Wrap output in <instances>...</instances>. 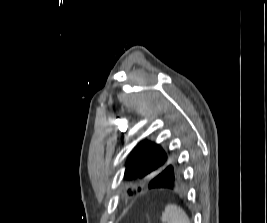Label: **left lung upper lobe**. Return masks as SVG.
<instances>
[{
    "mask_svg": "<svg viewBox=\"0 0 267 223\" xmlns=\"http://www.w3.org/2000/svg\"><path fill=\"white\" fill-rule=\"evenodd\" d=\"M166 171H181L176 155L167 147L143 141L135 147L127 160L124 180L132 183L150 182L154 179V173ZM128 192L132 193L130 189Z\"/></svg>",
    "mask_w": 267,
    "mask_h": 223,
    "instance_id": "left-lung-upper-lobe-1",
    "label": "left lung upper lobe"
}]
</instances>
